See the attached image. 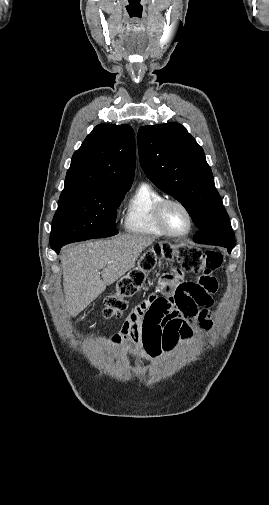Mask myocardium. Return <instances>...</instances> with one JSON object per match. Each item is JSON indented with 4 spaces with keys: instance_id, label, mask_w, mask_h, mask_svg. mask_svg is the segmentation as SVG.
I'll return each mask as SVG.
<instances>
[{
    "instance_id": "myocardium-1",
    "label": "myocardium",
    "mask_w": 269,
    "mask_h": 505,
    "mask_svg": "<svg viewBox=\"0 0 269 505\" xmlns=\"http://www.w3.org/2000/svg\"><path fill=\"white\" fill-rule=\"evenodd\" d=\"M168 204H176V205L180 206L187 214L188 219H189V227L186 232L174 233L166 226L164 219H163V213H164L165 207ZM154 218H155V221H156L158 227L161 229V231L169 237H174V238L186 237L191 233V231L193 230V227H194V217H193V214H192L190 208L184 202H182L181 200L176 199V198H163L162 200H160L154 208Z\"/></svg>"
}]
</instances>
